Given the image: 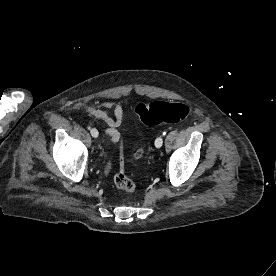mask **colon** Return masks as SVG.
Masks as SVG:
<instances>
[{
    "mask_svg": "<svg viewBox=\"0 0 276 276\" xmlns=\"http://www.w3.org/2000/svg\"><path fill=\"white\" fill-rule=\"evenodd\" d=\"M190 108L184 103H170L156 101L150 104H138L135 113L146 125H158L163 122L177 123L184 120L189 114ZM116 187L126 193H133L136 185L131 178L120 169L114 176Z\"/></svg>",
    "mask_w": 276,
    "mask_h": 276,
    "instance_id": "colon-1",
    "label": "colon"
}]
</instances>
